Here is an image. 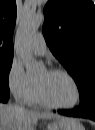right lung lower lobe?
<instances>
[{
	"instance_id": "98d812e1",
	"label": "right lung lower lobe",
	"mask_w": 95,
	"mask_h": 130,
	"mask_svg": "<svg viewBox=\"0 0 95 130\" xmlns=\"http://www.w3.org/2000/svg\"><path fill=\"white\" fill-rule=\"evenodd\" d=\"M9 91H0V102L6 103L9 99Z\"/></svg>"
}]
</instances>
